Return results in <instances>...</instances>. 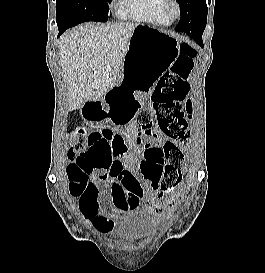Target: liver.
Returning a JSON list of instances; mask_svg holds the SVG:
<instances>
[{
	"label": "liver",
	"instance_id": "1",
	"mask_svg": "<svg viewBox=\"0 0 265 273\" xmlns=\"http://www.w3.org/2000/svg\"><path fill=\"white\" fill-rule=\"evenodd\" d=\"M138 23L79 26L60 39L59 55L68 84L70 110L103 97L115 85Z\"/></svg>",
	"mask_w": 265,
	"mask_h": 273
}]
</instances>
